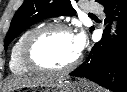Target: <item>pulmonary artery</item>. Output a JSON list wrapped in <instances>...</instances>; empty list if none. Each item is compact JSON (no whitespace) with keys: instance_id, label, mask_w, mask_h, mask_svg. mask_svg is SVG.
Segmentation results:
<instances>
[{"instance_id":"1","label":"pulmonary artery","mask_w":127,"mask_h":92,"mask_svg":"<svg viewBox=\"0 0 127 92\" xmlns=\"http://www.w3.org/2000/svg\"><path fill=\"white\" fill-rule=\"evenodd\" d=\"M86 10L89 11V12H94V13L101 11L100 7L97 6V5H90V6L87 7Z\"/></svg>"}]
</instances>
